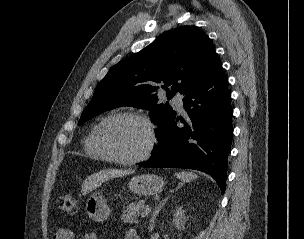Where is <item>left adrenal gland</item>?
<instances>
[{"mask_svg": "<svg viewBox=\"0 0 304 239\" xmlns=\"http://www.w3.org/2000/svg\"><path fill=\"white\" fill-rule=\"evenodd\" d=\"M170 198V196H167L162 201L159 202L158 206L153 211L151 218H150V226H149V232H152L155 226V220L160 212V210L165 206L167 200Z\"/></svg>", "mask_w": 304, "mask_h": 239, "instance_id": "left-adrenal-gland-1", "label": "left adrenal gland"}]
</instances>
